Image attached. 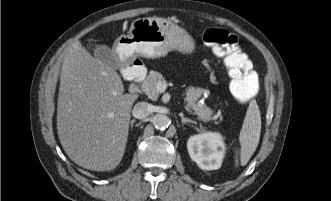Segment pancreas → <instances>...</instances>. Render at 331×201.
<instances>
[{"instance_id": "pancreas-1", "label": "pancreas", "mask_w": 331, "mask_h": 201, "mask_svg": "<svg viewBox=\"0 0 331 201\" xmlns=\"http://www.w3.org/2000/svg\"><path fill=\"white\" fill-rule=\"evenodd\" d=\"M164 81L165 79L161 73L151 71L141 84V89L150 99L155 101L159 95L156 86L158 82ZM204 94H209V91L202 88H190L186 94V101L188 103L187 109L193 110L194 114H196L200 120L207 122L219 117V114L212 116L213 110L207 107L206 104L199 102V98Z\"/></svg>"}]
</instances>
